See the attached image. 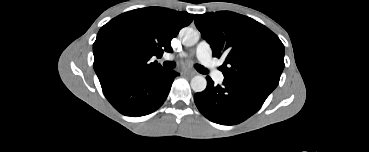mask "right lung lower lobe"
Wrapping results in <instances>:
<instances>
[{"label":"right lung lower lobe","mask_w":369,"mask_h":152,"mask_svg":"<svg viewBox=\"0 0 369 152\" xmlns=\"http://www.w3.org/2000/svg\"><path fill=\"white\" fill-rule=\"evenodd\" d=\"M178 75L164 68L148 74H137L104 89L103 93L123 115L144 116L164 103Z\"/></svg>","instance_id":"right-lung-lower-lobe-1"}]
</instances>
